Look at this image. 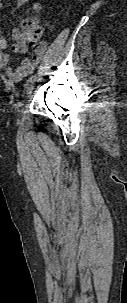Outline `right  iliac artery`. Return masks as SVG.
<instances>
[{"label":"right iliac artery","mask_w":127,"mask_h":303,"mask_svg":"<svg viewBox=\"0 0 127 303\" xmlns=\"http://www.w3.org/2000/svg\"><path fill=\"white\" fill-rule=\"evenodd\" d=\"M35 80H36V75L31 76L27 81L26 88L31 86L35 82Z\"/></svg>","instance_id":"right-iliac-artery-1"}]
</instances>
